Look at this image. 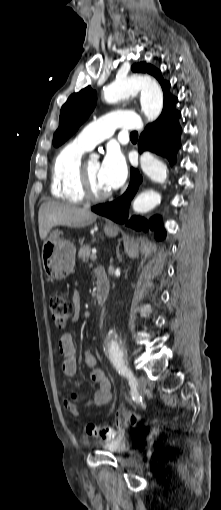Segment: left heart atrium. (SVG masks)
I'll use <instances>...</instances> for the list:
<instances>
[{
    "instance_id": "1",
    "label": "left heart atrium",
    "mask_w": 221,
    "mask_h": 510,
    "mask_svg": "<svg viewBox=\"0 0 221 510\" xmlns=\"http://www.w3.org/2000/svg\"><path fill=\"white\" fill-rule=\"evenodd\" d=\"M100 179L109 191L119 188L127 176L126 160L121 150L110 145L100 164Z\"/></svg>"
}]
</instances>
